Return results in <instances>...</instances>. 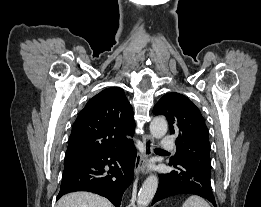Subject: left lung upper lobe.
<instances>
[{"label": "left lung upper lobe", "instance_id": "left-lung-upper-lobe-1", "mask_svg": "<svg viewBox=\"0 0 261 207\" xmlns=\"http://www.w3.org/2000/svg\"><path fill=\"white\" fill-rule=\"evenodd\" d=\"M155 115H164L170 134L176 139V154L170 163H183L211 174L208 129L199 109L179 93L165 94L153 108Z\"/></svg>", "mask_w": 261, "mask_h": 207}]
</instances>
